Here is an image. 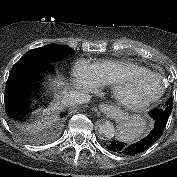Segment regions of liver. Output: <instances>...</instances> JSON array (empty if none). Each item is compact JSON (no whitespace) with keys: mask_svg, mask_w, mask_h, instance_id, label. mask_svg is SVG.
<instances>
[{"mask_svg":"<svg viewBox=\"0 0 177 177\" xmlns=\"http://www.w3.org/2000/svg\"><path fill=\"white\" fill-rule=\"evenodd\" d=\"M57 84L60 85L59 82H57ZM56 108H57V107H56V105H55V106H53V107H51V108H49V109H46V110L44 111V113H45L46 115H49V114H50L52 111H54ZM48 121H49L48 117L42 118L41 121H38L37 123H35V125L33 126V128L36 129V130H40L41 128H43V126H45V125H47V124L49 123Z\"/></svg>","mask_w":177,"mask_h":177,"instance_id":"obj_1","label":"liver"}]
</instances>
